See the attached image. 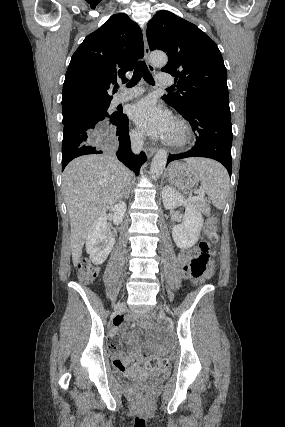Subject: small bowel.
<instances>
[{
  "instance_id": "c3829d8e",
  "label": "small bowel",
  "mask_w": 285,
  "mask_h": 427,
  "mask_svg": "<svg viewBox=\"0 0 285 427\" xmlns=\"http://www.w3.org/2000/svg\"><path fill=\"white\" fill-rule=\"evenodd\" d=\"M187 258L186 253H181L179 255V261L184 264ZM131 319L130 316L119 318L114 322V325L117 327H121L127 324ZM106 344L111 350V357L114 362V366L116 369H124L132 364H138L142 361V352L139 349H134L129 357H124L122 346L120 341H118L112 334H109L106 339Z\"/></svg>"
}]
</instances>
